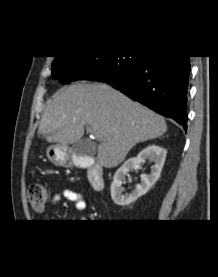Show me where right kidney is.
Returning <instances> with one entry per match:
<instances>
[{
	"mask_svg": "<svg viewBox=\"0 0 218 277\" xmlns=\"http://www.w3.org/2000/svg\"><path fill=\"white\" fill-rule=\"evenodd\" d=\"M167 151L157 145H150L142 150L138 156L129 158L116 171L111 184V197L115 204L127 206L135 202L139 197L146 194L160 177L165 162ZM146 159L152 160L155 164L151 167L149 175H141V183L130 194H123L125 175L130 169H138Z\"/></svg>",
	"mask_w": 218,
	"mask_h": 277,
	"instance_id": "obj_1",
	"label": "right kidney"
}]
</instances>
